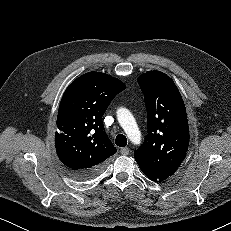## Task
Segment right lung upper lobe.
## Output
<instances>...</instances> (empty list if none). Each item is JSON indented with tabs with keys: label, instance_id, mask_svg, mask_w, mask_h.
<instances>
[{
	"label": "right lung upper lobe",
	"instance_id": "obj_1",
	"mask_svg": "<svg viewBox=\"0 0 231 231\" xmlns=\"http://www.w3.org/2000/svg\"><path fill=\"white\" fill-rule=\"evenodd\" d=\"M125 84L101 72H89L66 89L57 115L56 152L71 172L103 168L116 153L107 137L102 116Z\"/></svg>",
	"mask_w": 231,
	"mask_h": 231
}]
</instances>
